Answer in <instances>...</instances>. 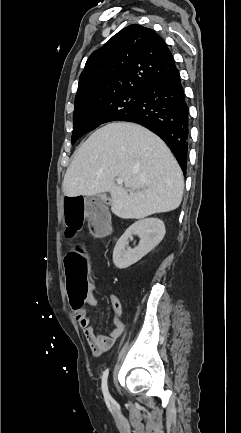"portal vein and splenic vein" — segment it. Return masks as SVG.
<instances>
[{
    "mask_svg": "<svg viewBox=\"0 0 241 433\" xmlns=\"http://www.w3.org/2000/svg\"><path fill=\"white\" fill-rule=\"evenodd\" d=\"M116 182H117V184L122 185L123 184V179L122 178H118L116 180ZM130 193H132V192L130 191Z\"/></svg>",
    "mask_w": 241,
    "mask_h": 433,
    "instance_id": "1",
    "label": "portal vein and splenic vein"
}]
</instances>
